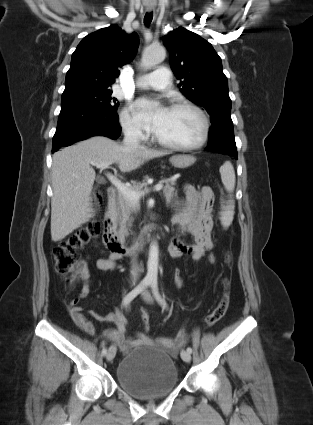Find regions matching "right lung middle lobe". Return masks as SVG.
I'll return each instance as SVG.
<instances>
[{
	"label": "right lung middle lobe",
	"instance_id": "1",
	"mask_svg": "<svg viewBox=\"0 0 313 425\" xmlns=\"http://www.w3.org/2000/svg\"><path fill=\"white\" fill-rule=\"evenodd\" d=\"M111 89H82L62 94V103L76 102L94 106L102 110L117 114L119 103L112 97Z\"/></svg>",
	"mask_w": 313,
	"mask_h": 425
}]
</instances>
